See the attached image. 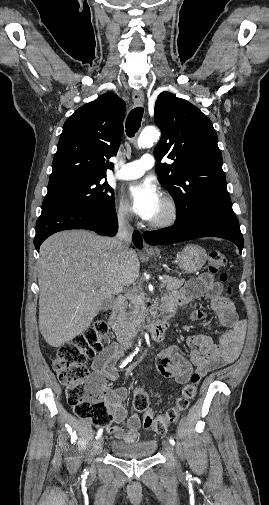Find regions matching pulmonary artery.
<instances>
[{
    "mask_svg": "<svg viewBox=\"0 0 269 505\" xmlns=\"http://www.w3.org/2000/svg\"><path fill=\"white\" fill-rule=\"evenodd\" d=\"M154 157L150 154H144L139 160L123 164L116 174L118 179L129 180L142 176L145 171L154 165Z\"/></svg>",
    "mask_w": 269,
    "mask_h": 505,
    "instance_id": "pulmonary-artery-1",
    "label": "pulmonary artery"
}]
</instances>
